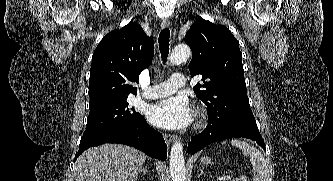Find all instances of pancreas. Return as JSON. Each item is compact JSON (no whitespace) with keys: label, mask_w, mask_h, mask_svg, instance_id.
Masks as SVG:
<instances>
[{"label":"pancreas","mask_w":333,"mask_h":181,"mask_svg":"<svg viewBox=\"0 0 333 181\" xmlns=\"http://www.w3.org/2000/svg\"><path fill=\"white\" fill-rule=\"evenodd\" d=\"M232 181H238L237 179H233Z\"/></svg>","instance_id":"pancreas-1"}]
</instances>
